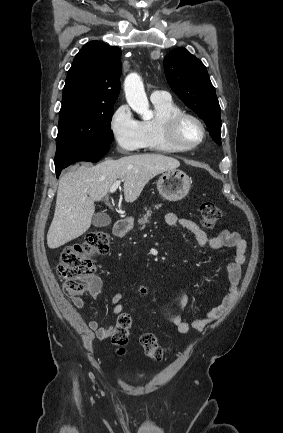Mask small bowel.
<instances>
[{
  "label": "small bowel",
  "mask_w": 283,
  "mask_h": 433,
  "mask_svg": "<svg viewBox=\"0 0 283 433\" xmlns=\"http://www.w3.org/2000/svg\"><path fill=\"white\" fill-rule=\"evenodd\" d=\"M165 222L170 227L182 226L189 232H191L196 239V242L201 247H207L211 249H220L223 247H231L234 249V259L227 266L228 273V288L227 292L221 302V304L212 310L208 311L206 315L200 319H196L189 323L180 315H173L170 321L176 326L177 330L181 334H187L192 329L201 331L209 323L220 319L229 308L234 304L239 290V284L241 280V266L246 259V241L237 232H232L229 230H222L215 236L208 235L204 230H202L195 222L178 218L174 213H167L165 215ZM89 293L92 297L96 298L102 289V283L97 277H92L89 282ZM139 292L142 296L151 295L154 301L158 300V294L156 291H151L146 285L139 286ZM123 294L116 293L112 296L111 302L113 304L114 315H120L124 310ZM188 304V297L186 295H181L179 298V306L185 308ZM84 301L79 297L72 298V304L67 305L65 308V314L69 321L80 327H84L85 323L83 319L78 314L76 309L83 308ZM87 327L91 330L99 340L107 339L113 331V326H101L97 321L92 320L88 323Z\"/></svg>",
  "instance_id": "1"
}]
</instances>
